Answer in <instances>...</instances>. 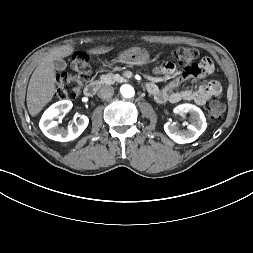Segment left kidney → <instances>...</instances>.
Listing matches in <instances>:
<instances>
[{"mask_svg": "<svg viewBox=\"0 0 253 253\" xmlns=\"http://www.w3.org/2000/svg\"><path fill=\"white\" fill-rule=\"evenodd\" d=\"M174 112L177 114L189 113L191 116V124L187 126V130H179L178 127L171 122L164 125L166 134L176 143L185 144L195 141L206 129V118L202 110L193 104H180Z\"/></svg>", "mask_w": 253, "mask_h": 253, "instance_id": "5707ae66", "label": "left kidney"}]
</instances>
